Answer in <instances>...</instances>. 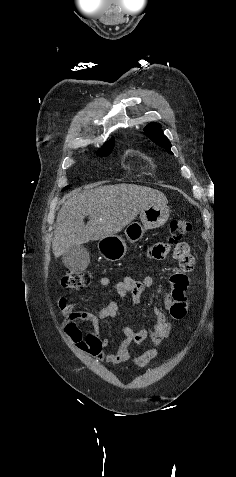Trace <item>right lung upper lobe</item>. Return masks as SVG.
I'll list each match as a JSON object with an SVG mask.
<instances>
[{
  "label": "right lung upper lobe",
  "mask_w": 236,
  "mask_h": 477,
  "mask_svg": "<svg viewBox=\"0 0 236 477\" xmlns=\"http://www.w3.org/2000/svg\"><path fill=\"white\" fill-rule=\"evenodd\" d=\"M113 147H114V138H112L110 141H108L104 145V147L101 150H99L98 152L103 151V150H110V149H113Z\"/></svg>",
  "instance_id": "obj_1"
}]
</instances>
